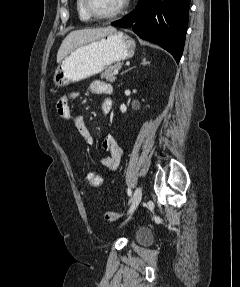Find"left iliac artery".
Returning <instances> with one entry per match:
<instances>
[{"mask_svg": "<svg viewBox=\"0 0 240 287\" xmlns=\"http://www.w3.org/2000/svg\"><path fill=\"white\" fill-rule=\"evenodd\" d=\"M127 193H128V195H129V196H131L132 191H131V189H130V188H128Z\"/></svg>", "mask_w": 240, "mask_h": 287, "instance_id": "44dca946", "label": "left iliac artery"}]
</instances>
